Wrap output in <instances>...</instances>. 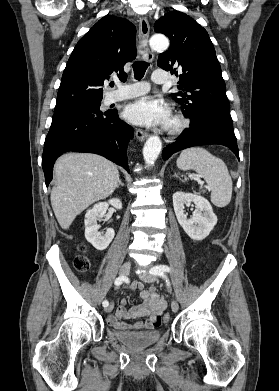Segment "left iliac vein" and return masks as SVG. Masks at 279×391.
Here are the masks:
<instances>
[{"instance_id":"4c4485c4","label":"left iliac vein","mask_w":279,"mask_h":391,"mask_svg":"<svg viewBox=\"0 0 279 391\" xmlns=\"http://www.w3.org/2000/svg\"><path fill=\"white\" fill-rule=\"evenodd\" d=\"M139 278L146 282V283H152L156 280V277L153 276V275H150V274H146V273H141L139 275ZM171 309L173 312H177L179 310V305H178V302L176 300H173L172 301V304H171Z\"/></svg>"}]
</instances>
